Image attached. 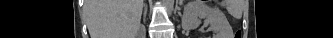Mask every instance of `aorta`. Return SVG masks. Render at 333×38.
I'll list each match as a JSON object with an SVG mask.
<instances>
[{
  "label": "aorta",
  "mask_w": 333,
  "mask_h": 38,
  "mask_svg": "<svg viewBox=\"0 0 333 38\" xmlns=\"http://www.w3.org/2000/svg\"><path fill=\"white\" fill-rule=\"evenodd\" d=\"M163 5L167 10L168 15H171L174 7V0H163Z\"/></svg>",
  "instance_id": "762f6f07"
}]
</instances>
